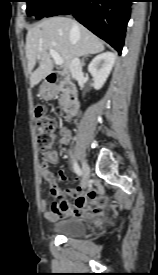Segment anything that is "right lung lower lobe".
Here are the masks:
<instances>
[{
    "mask_svg": "<svg viewBox=\"0 0 158 275\" xmlns=\"http://www.w3.org/2000/svg\"><path fill=\"white\" fill-rule=\"evenodd\" d=\"M132 0H63L45 16L73 13L90 31L121 54Z\"/></svg>",
    "mask_w": 158,
    "mask_h": 275,
    "instance_id": "1",
    "label": "right lung lower lobe"
}]
</instances>
